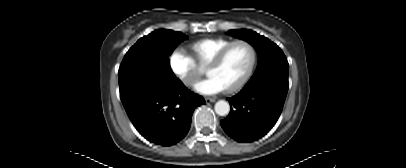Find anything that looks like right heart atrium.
<instances>
[{
  "instance_id": "obj_1",
  "label": "right heart atrium",
  "mask_w": 406,
  "mask_h": 168,
  "mask_svg": "<svg viewBox=\"0 0 406 168\" xmlns=\"http://www.w3.org/2000/svg\"><path fill=\"white\" fill-rule=\"evenodd\" d=\"M169 65L173 73L186 86H192L200 74L196 62L180 48L175 49L169 56Z\"/></svg>"
}]
</instances>
